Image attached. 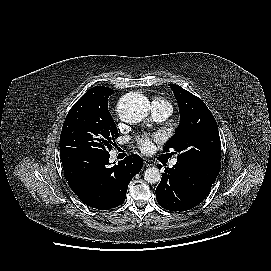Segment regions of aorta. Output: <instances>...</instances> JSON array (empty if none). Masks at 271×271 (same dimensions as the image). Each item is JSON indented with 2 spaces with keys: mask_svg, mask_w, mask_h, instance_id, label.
Masks as SVG:
<instances>
[{
  "mask_svg": "<svg viewBox=\"0 0 271 271\" xmlns=\"http://www.w3.org/2000/svg\"><path fill=\"white\" fill-rule=\"evenodd\" d=\"M148 100L145 96L137 93L125 95L121 100L119 109L120 117L128 123L142 121L148 114ZM144 180L150 184L161 180V173L156 167H149L144 172Z\"/></svg>",
  "mask_w": 271,
  "mask_h": 271,
  "instance_id": "762f6f07",
  "label": "aorta"
}]
</instances>
